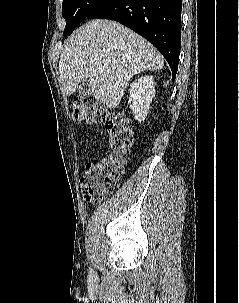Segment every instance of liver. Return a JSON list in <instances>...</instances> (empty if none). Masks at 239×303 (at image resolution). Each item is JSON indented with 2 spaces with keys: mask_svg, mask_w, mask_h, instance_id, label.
<instances>
[{
  "mask_svg": "<svg viewBox=\"0 0 239 303\" xmlns=\"http://www.w3.org/2000/svg\"><path fill=\"white\" fill-rule=\"evenodd\" d=\"M163 65L161 54L131 29L114 21L93 20L67 40L59 74L67 96L78 83L88 81L93 97L115 108L133 75L160 70Z\"/></svg>",
  "mask_w": 239,
  "mask_h": 303,
  "instance_id": "1",
  "label": "liver"
}]
</instances>
